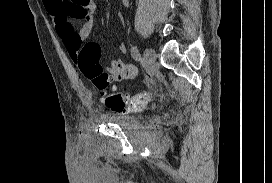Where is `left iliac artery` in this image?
Listing matches in <instances>:
<instances>
[{
    "instance_id": "44dca946",
    "label": "left iliac artery",
    "mask_w": 272,
    "mask_h": 183,
    "mask_svg": "<svg viewBox=\"0 0 272 183\" xmlns=\"http://www.w3.org/2000/svg\"><path fill=\"white\" fill-rule=\"evenodd\" d=\"M131 56L134 60L139 61L141 59L140 52L136 46L131 47Z\"/></svg>"
}]
</instances>
